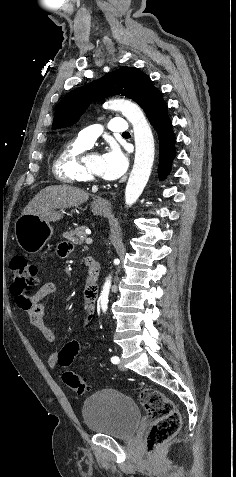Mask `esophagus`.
<instances>
[{"mask_svg": "<svg viewBox=\"0 0 236 477\" xmlns=\"http://www.w3.org/2000/svg\"><path fill=\"white\" fill-rule=\"evenodd\" d=\"M99 203L101 206L105 208H111V203L108 200L103 199V200H100Z\"/></svg>", "mask_w": 236, "mask_h": 477, "instance_id": "1", "label": "esophagus"}]
</instances>
